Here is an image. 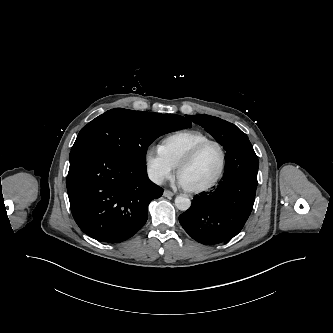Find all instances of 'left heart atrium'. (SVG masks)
<instances>
[{"label":"left heart atrium","mask_w":333,"mask_h":333,"mask_svg":"<svg viewBox=\"0 0 333 333\" xmlns=\"http://www.w3.org/2000/svg\"><path fill=\"white\" fill-rule=\"evenodd\" d=\"M180 184L182 185V186H184V184L182 183V181L180 180Z\"/></svg>","instance_id":"obj_1"}]
</instances>
